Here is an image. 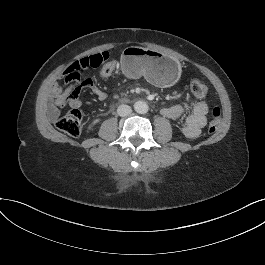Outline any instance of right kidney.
I'll return each instance as SVG.
<instances>
[{"label":"right kidney","mask_w":265,"mask_h":265,"mask_svg":"<svg viewBox=\"0 0 265 265\" xmlns=\"http://www.w3.org/2000/svg\"><path fill=\"white\" fill-rule=\"evenodd\" d=\"M101 122V118H95L93 119L85 128L86 132L89 133L91 132L95 126Z\"/></svg>","instance_id":"right-kidney-1"}]
</instances>
